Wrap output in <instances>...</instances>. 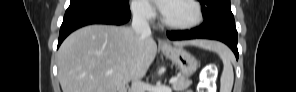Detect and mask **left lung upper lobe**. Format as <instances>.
<instances>
[{
	"label": "left lung upper lobe",
	"instance_id": "left-lung-upper-lobe-1",
	"mask_svg": "<svg viewBox=\"0 0 296 92\" xmlns=\"http://www.w3.org/2000/svg\"><path fill=\"white\" fill-rule=\"evenodd\" d=\"M202 5L204 22L202 29L210 30L222 23L234 21L230 0H199Z\"/></svg>",
	"mask_w": 296,
	"mask_h": 92
}]
</instances>
